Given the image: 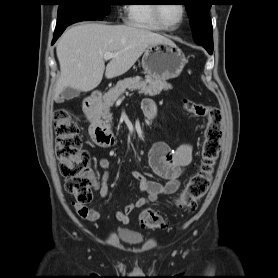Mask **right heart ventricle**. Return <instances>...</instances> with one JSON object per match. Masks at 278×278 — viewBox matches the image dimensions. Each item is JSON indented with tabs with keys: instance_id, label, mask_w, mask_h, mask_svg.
Masks as SVG:
<instances>
[{
	"instance_id": "1",
	"label": "right heart ventricle",
	"mask_w": 278,
	"mask_h": 278,
	"mask_svg": "<svg viewBox=\"0 0 278 278\" xmlns=\"http://www.w3.org/2000/svg\"><path fill=\"white\" fill-rule=\"evenodd\" d=\"M128 22L137 27L153 31H161V28L153 17V5L134 3L127 8Z\"/></svg>"
}]
</instances>
